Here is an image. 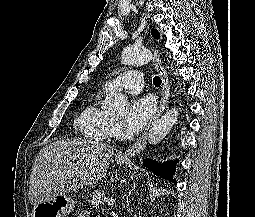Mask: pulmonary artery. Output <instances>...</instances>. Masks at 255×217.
Here are the masks:
<instances>
[{"label": "pulmonary artery", "mask_w": 255, "mask_h": 217, "mask_svg": "<svg viewBox=\"0 0 255 217\" xmlns=\"http://www.w3.org/2000/svg\"><path fill=\"white\" fill-rule=\"evenodd\" d=\"M143 85V73L138 70H128L118 75L115 79L106 82L104 89L119 88L129 93H138L142 91Z\"/></svg>", "instance_id": "obj_1"}]
</instances>
